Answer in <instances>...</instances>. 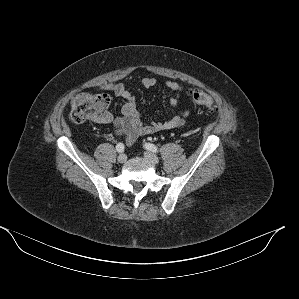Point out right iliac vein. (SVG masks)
Wrapping results in <instances>:
<instances>
[{"mask_svg": "<svg viewBox=\"0 0 299 299\" xmlns=\"http://www.w3.org/2000/svg\"><path fill=\"white\" fill-rule=\"evenodd\" d=\"M118 162L119 163H125L126 162V160H127V156L125 155V154H120L119 156H118Z\"/></svg>", "mask_w": 299, "mask_h": 299, "instance_id": "obj_1", "label": "right iliac vein"}]
</instances>
